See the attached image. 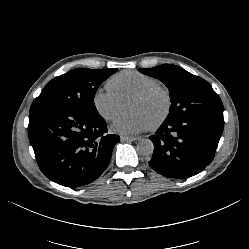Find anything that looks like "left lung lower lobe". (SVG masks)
<instances>
[{"mask_svg":"<svg viewBox=\"0 0 249 249\" xmlns=\"http://www.w3.org/2000/svg\"><path fill=\"white\" fill-rule=\"evenodd\" d=\"M223 125V112L165 120L149 137L154 143L149 165L169 178L184 179L198 174L212 162Z\"/></svg>","mask_w":249,"mask_h":249,"instance_id":"obj_1","label":"left lung lower lobe"}]
</instances>
